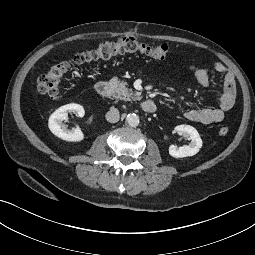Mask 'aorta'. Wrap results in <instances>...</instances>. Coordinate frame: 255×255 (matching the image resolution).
<instances>
[{
	"instance_id": "1",
	"label": "aorta",
	"mask_w": 255,
	"mask_h": 255,
	"mask_svg": "<svg viewBox=\"0 0 255 255\" xmlns=\"http://www.w3.org/2000/svg\"><path fill=\"white\" fill-rule=\"evenodd\" d=\"M126 122L131 127H137L139 125V116L137 114H128L126 117Z\"/></svg>"
}]
</instances>
